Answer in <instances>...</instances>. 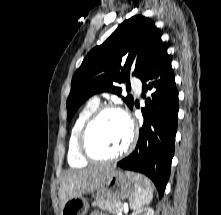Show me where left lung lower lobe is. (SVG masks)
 <instances>
[{
  "label": "left lung lower lobe",
  "instance_id": "1",
  "mask_svg": "<svg viewBox=\"0 0 221 215\" xmlns=\"http://www.w3.org/2000/svg\"><path fill=\"white\" fill-rule=\"evenodd\" d=\"M140 80L144 92H150L148 98L142 94L146 99L142 108L144 123L135 150L117 165L148 176L161 198L171 172L178 119V91L166 46Z\"/></svg>",
  "mask_w": 221,
  "mask_h": 215
}]
</instances>
